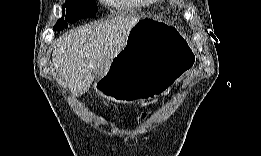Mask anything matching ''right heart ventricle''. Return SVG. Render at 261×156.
Segmentation results:
<instances>
[{"instance_id": "1", "label": "right heart ventricle", "mask_w": 261, "mask_h": 156, "mask_svg": "<svg viewBox=\"0 0 261 156\" xmlns=\"http://www.w3.org/2000/svg\"><path fill=\"white\" fill-rule=\"evenodd\" d=\"M132 2L133 0H113L109 3L116 6L126 7L129 6Z\"/></svg>"}]
</instances>
